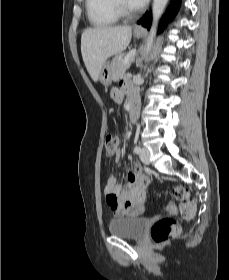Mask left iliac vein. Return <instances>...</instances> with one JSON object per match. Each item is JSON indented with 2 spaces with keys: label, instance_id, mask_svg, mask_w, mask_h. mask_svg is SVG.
<instances>
[{
  "label": "left iliac vein",
  "instance_id": "1",
  "mask_svg": "<svg viewBox=\"0 0 229 280\" xmlns=\"http://www.w3.org/2000/svg\"><path fill=\"white\" fill-rule=\"evenodd\" d=\"M140 160L145 164L149 165L150 163V153L147 148H142L140 152Z\"/></svg>",
  "mask_w": 229,
  "mask_h": 280
}]
</instances>
